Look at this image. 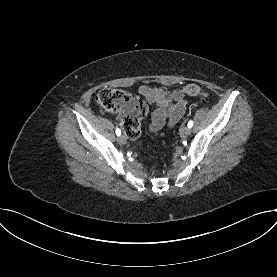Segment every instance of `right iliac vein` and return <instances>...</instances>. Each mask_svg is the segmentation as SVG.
<instances>
[{"label": "right iliac vein", "mask_w": 277, "mask_h": 277, "mask_svg": "<svg viewBox=\"0 0 277 277\" xmlns=\"http://www.w3.org/2000/svg\"><path fill=\"white\" fill-rule=\"evenodd\" d=\"M117 141L119 144L123 145V144H126L127 142V139L124 135H120L118 138H117Z\"/></svg>", "instance_id": "63e3f726"}]
</instances>
